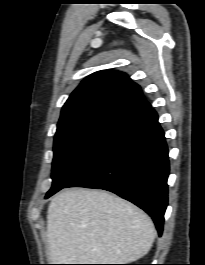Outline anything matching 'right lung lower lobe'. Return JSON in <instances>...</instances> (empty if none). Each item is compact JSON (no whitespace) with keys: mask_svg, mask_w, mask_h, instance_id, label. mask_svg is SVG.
<instances>
[{"mask_svg":"<svg viewBox=\"0 0 205 265\" xmlns=\"http://www.w3.org/2000/svg\"><path fill=\"white\" fill-rule=\"evenodd\" d=\"M168 175L164 132L151 108L126 125L64 188L80 186L116 193L146 211L161 236Z\"/></svg>","mask_w":205,"mask_h":265,"instance_id":"1","label":"right lung lower lobe"}]
</instances>
